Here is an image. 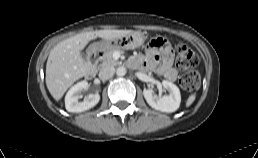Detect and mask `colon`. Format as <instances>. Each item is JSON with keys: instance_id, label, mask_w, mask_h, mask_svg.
<instances>
[{"instance_id": "1", "label": "colon", "mask_w": 258, "mask_h": 158, "mask_svg": "<svg viewBox=\"0 0 258 158\" xmlns=\"http://www.w3.org/2000/svg\"><path fill=\"white\" fill-rule=\"evenodd\" d=\"M167 43L164 37H158L151 41L149 48L160 49ZM199 63L196 53L185 45L177 47V67L184 71L179 78L180 86L187 91H196L200 84V77L195 67Z\"/></svg>"}]
</instances>
